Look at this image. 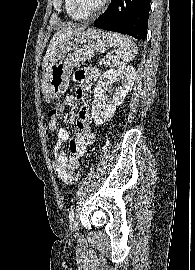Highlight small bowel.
Masks as SVG:
<instances>
[{"label":"small bowel","mask_w":195,"mask_h":270,"mask_svg":"<svg viewBox=\"0 0 195 270\" xmlns=\"http://www.w3.org/2000/svg\"><path fill=\"white\" fill-rule=\"evenodd\" d=\"M95 69L79 70L75 74V80L78 83L74 94L68 95L64 99L66 106H72L77 101L82 100L89 92L90 88L97 79ZM70 122H75V137L69 140V133L64 128H58L57 121H49V130L57 135V141L53 151V169L58 178L67 180L73 172L79 167L80 158L86 152L88 146L95 140V134L92 131V117L88 106H83L76 113L69 112L67 116ZM69 141V151L71 156H67L63 149V144Z\"/></svg>","instance_id":"1"}]
</instances>
